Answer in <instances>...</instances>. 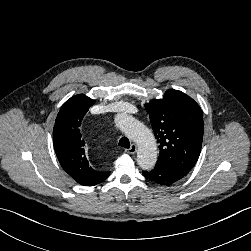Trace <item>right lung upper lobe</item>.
I'll return each mask as SVG.
<instances>
[{
    "mask_svg": "<svg viewBox=\"0 0 251 251\" xmlns=\"http://www.w3.org/2000/svg\"><path fill=\"white\" fill-rule=\"evenodd\" d=\"M95 100L78 94L61 107L53 129V143L58 160L77 183L94 186L109 177V172L92 168L85 153V141L81 134V122Z\"/></svg>",
    "mask_w": 251,
    "mask_h": 251,
    "instance_id": "1",
    "label": "right lung upper lobe"
}]
</instances>
